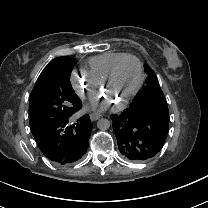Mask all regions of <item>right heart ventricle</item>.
<instances>
[{
  "mask_svg": "<svg viewBox=\"0 0 208 208\" xmlns=\"http://www.w3.org/2000/svg\"><path fill=\"white\" fill-rule=\"evenodd\" d=\"M124 55V53L109 52L90 58L87 62L89 74L98 84H100L113 64Z\"/></svg>",
  "mask_w": 208,
  "mask_h": 208,
  "instance_id": "e07e8e85",
  "label": "right heart ventricle"
}]
</instances>
